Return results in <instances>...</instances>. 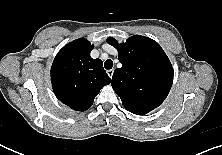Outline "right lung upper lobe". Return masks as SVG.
Masks as SVG:
<instances>
[{"label": "right lung upper lobe", "instance_id": "right-lung-upper-lobe-1", "mask_svg": "<svg viewBox=\"0 0 222 155\" xmlns=\"http://www.w3.org/2000/svg\"><path fill=\"white\" fill-rule=\"evenodd\" d=\"M94 48L84 39L65 45L56 55L51 67V82L55 96L76 111H85L95 96L111 79L100 59L90 56Z\"/></svg>", "mask_w": 222, "mask_h": 155}]
</instances>
